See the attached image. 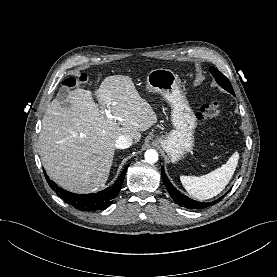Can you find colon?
I'll use <instances>...</instances> for the list:
<instances>
[{
    "mask_svg": "<svg viewBox=\"0 0 277 277\" xmlns=\"http://www.w3.org/2000/svg\"><path fill=\"white\" fill-rule=\"evenodd\" d=\"M88 82V78L85 74H81L78 77H68L63 81V85L69 88H74L78 85ZM196 119L200 122H211L222 118L223 110L222 106L217 101H211L203 105L195 114Z\"/></svg>",
    "mask_w": 277,
    "mask_h": 277,
    "instance_id": "5ec220e1",
    "label": "colon"
}]
</instances>
